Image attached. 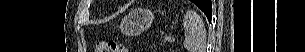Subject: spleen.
I'll use <instances>...</instances> for the list:
<instances>
[{
  "label": "spleen",
  "instance_id": "3e777b00",
  "mask_svg": "<svg viewBox=\"0 0 305 52\" xmlns=\"http://www.w3.org/2000/svg\"><path fill=\"white\" fill-rule=\"evenodd\" d=\"M184 47L189 52H205L207 32L201 17L195 11H187L183 19Z\"/></svg>",
  "mask_w": 305,
  "mask_h": 52
}]
</instances>
